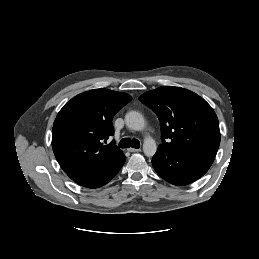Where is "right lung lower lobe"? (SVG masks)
<instances>
[{
	"label": "right lung lower lobe",
	"instance_id": "obj_1",
	"mask_svg": "<svg viewBox=\"0 0 259 259\" xmlns=\"http://www.w3.org/2000/svg\"><path fill=\"white\" fill-rule=\"evenodd\" d=\"M126 157L121 153L98 168L82 173H72L68 176L81 186L87 188H99L108 183L121 169Z\"/></svg>",
	"mask_w": 259,
	"mask_h": 259
}]
</instances>
